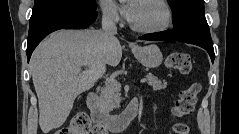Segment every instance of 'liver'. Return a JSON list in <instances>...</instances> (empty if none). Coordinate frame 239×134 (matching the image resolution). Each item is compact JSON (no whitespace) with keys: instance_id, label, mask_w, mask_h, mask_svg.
Returning a JSON list of instances; mask_svg holds the SVG:
<instances>
[{"instance_id":"obj_1","label":"liver","mask_w":239,"mask_h":134,"mask_svg":"<svg viewBox=\"0 0 239 134\" xmlns=\"http://www.w3.org/2000/svg\"><path fill=\"white\" fill-rule=\"evenodd\" d=\"M121 58L119 40L100 30H61L44 39L30 59L42 132L62 126L75 98L94 86L103 66H117Z\"/></svg>"}]
</instances>
